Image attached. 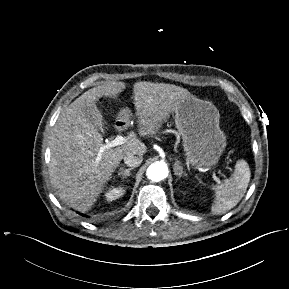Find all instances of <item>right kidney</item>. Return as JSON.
<instances>
[{"label":"right kidney","instance_id":"obj_1","mask_svg":"<svg viewBox=\"0 0 289 289\" xmlns=\"http://www.w3.org/2000/svg\"><path fill=\"white\" fill-rule=\"evenodd\" d=\"M125 190L123 187H111L109 190L105 193V197L108 201H113L118 199L124 194Z\"/></svg>","mask_w":289,"mask_h":289}]
</instances>
